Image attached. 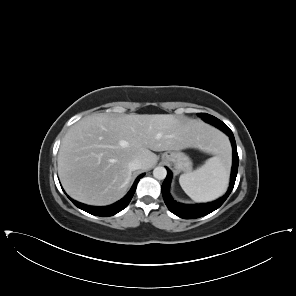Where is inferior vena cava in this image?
Returning a JSON list of instances; mask_svg holds the SVG:
<instances>
[{
	"label": "inferior vena cava",
	"instance_id": "obj_1",
	"mask_svg": "<svg viewBox=\"0 0 296 296\" xmlns=\"http://www.w3.org/2000/svg\"><path fill=\"white\" fill-rule=\"evenodd\" d=\"M128 167L131 171L142 169V161L139 159H134L129 163Z\"/></svg>",
	"mask_w": 296,
	"mask_h": 296
}]
</instances>
